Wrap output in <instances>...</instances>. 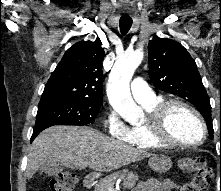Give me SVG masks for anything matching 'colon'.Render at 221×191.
<instances>
[{"label": "colon", "instance_id": "obj_1", "mask_svg": "<svg viewBox=\"0 0 221 191\" xmlns=\"http://www.w3.org/2000/svg\"><path fill=\"white\" fill-rule=\"evenodd\" d=\"M179 168L191 180L183 186V191H207L212 180V169L201 157L187 156L179 160ZM76 176L68 171L55 175L50 181L51 191H73Z\"/></svg>", "mask_w": 221, "mask_h": 191}]
</instances>
